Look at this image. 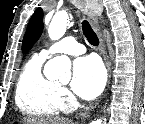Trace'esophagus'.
<instances>
[{
    "instance_id": "obj_1",
    "label": "esophagus",
    "mask_w": 145,
    "mask_h": 124,
    "mask_svg": "<svg viewBox=\"0 0 145 124\" xmlns=\"http://www.w3.org/2000/svg\"><path fill=\"white\" fill-rule=\"evenodd\" d=\"M84 13L88 16L89 22L91 24V26L93 27V29L95 30V32L97 33V36L99 38L100 41V49L101 52L104 55V60L107 66V70L109 73V80H108V84L110 83V77H111V62L109 60V57L107 55L106 52V48H105V43H104V38L103 35L100 31V27H99V16L101 15L102 11H103V6L101 4V1H94L91 4V7L88 9L83 10ZM98 103L92 104L90 105L88 108H86L82 113H81V117L83 119L87 118L90 114V112L96 108Z\"/></svg>"
}]
</instances>
